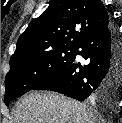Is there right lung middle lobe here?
<instances>
[{
    "label": "right lung middle lobe",
    "mask_w": 122,
    "mask_h": 123,
    "mask_svg": "<svg viewBox=\"0 0 122 123\" xmlns=\"http://www.w3.org/2000/svg\"><path fill=\"white\" fill-rule=\"evenodd\" d=\"M77 49H65L30 56L10 64L5 78L4 103L9 102L57 75L73 62Z\"/></svg>",
    "instance_id": "dd1d6c3e"
}]
</instances>
